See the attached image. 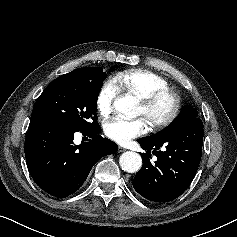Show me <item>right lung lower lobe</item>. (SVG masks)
<instances>
[{
  "label": "right lung lower lobe",
  "instance_id": "obj_1",
  "mask_svg": "<svg viewBox=\"0 0 237 237\" xmlns=\"http://www.w3.org/2000/svg\"><path fill=\"white\" fill-rule=\"evenodd\" d=\"M75 132L91 139L75 145ZM100 132L99 125L78 131L44 121H30L24 149L27 167L35 183L58 198L76 192L93 165L118 150L117 144L102 138Z\"/></svg>",
  "mask_w": 237,
  "mask_h": 237
}]
</instances>
